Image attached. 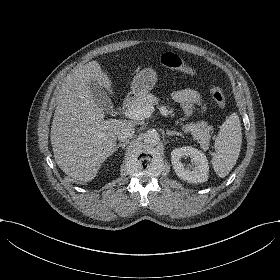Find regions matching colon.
Segmentation results:
<instances>
[{
	"label": "colon",
	"mask_w": 280,
	"mask_h": 280,
	"mask_svg": "<svg viewBox=\"0 0 280 280\" xmlns=\"http://www.w3.org/2000/svg\"><path fill=\"white\" fill-rule=\"evenodd\" d=\"M161 62L166 67H169L173 64V70L181 75L186 74L189 70V66L186 62L180 60L174 62L173 57L169 54L164 55L161 59ZM211 96L218 106L224 107L226 98L224 92L220 88H213L211 90Z\"/></svg>",
	"instance_id": "colon-1"
}]
</instances>
